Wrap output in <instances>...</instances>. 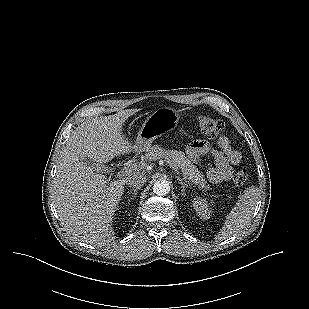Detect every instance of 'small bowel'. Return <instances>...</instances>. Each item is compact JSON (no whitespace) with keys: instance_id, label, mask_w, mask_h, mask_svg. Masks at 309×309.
I'll use <instances>...</instances> for the list:
<instances>
[{"instance_id":"c3829d8e","label":"small bowel","mask_w":309,"mask_h":309,"mask_svg":"<svg viewBox=\"0 0 309 309\" xmlns=\"http://www.w3.org/2000/svg\"><path fill=\"white\" fill-rule=\"evenodd\" d=\"M218 147L219 149H215L206 141H195L188 147L191 156L207 153L213 157L215 166L207 170V177L214 184L230 180L233 166L240 165L243 161L242 154L232 147L227 136L222 135L218 139Z\"/></svg>"}]
</instances>
